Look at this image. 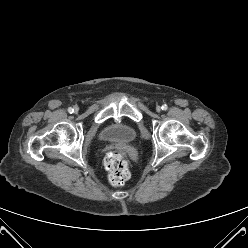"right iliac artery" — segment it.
Returning <instances> with one entry per match:
<instances>
[{"label": "right iliac artery", "instance_id": "obj_1", "mask_svg": "<svg viewBox=\"0 0 248 248\" xmlns=\"http://www.w3.org/2000/svg\"><path fill=\"white\" fill-rule=\"evenodd\" d=\"M68 112L71 114L74 112V109L72 107L68 108Z\"/></svg>", "mask_w": 248, "mask_h": 248}]
</instances>
